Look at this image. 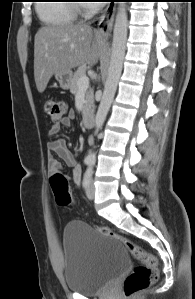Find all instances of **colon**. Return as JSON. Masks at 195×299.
<instances>
[{
	"instance_id": "colon-1",
	"label": "colon",
	"mask_w": 195,
	"mask_h": 299,
	"mask_svg": "<svg viewBox=\"0 0 195 299\" xmlns=\"http://www.w3.org/2000/svg\"><path fill=\"white\" fill-rule=\"evenodd\" d=\"M44 108L46 114L53 122H59L67 113V104L62 100H47ZM50 183L57 204L63 207L69 206L72 203V198L69 193V182L66 176L60 172H55L50 178ZM97 230L102 235L123 244L139 262L123 282L122 289L125 296H132L156 282L157 259L153 254L145 251L129 238L113 231L107 226H98Z\"/></svg>"
}]
</instances>
